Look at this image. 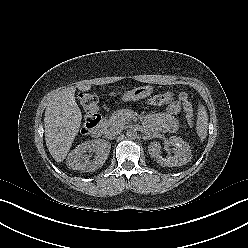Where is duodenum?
<instances>
[{
    "mask_svg": "<svg viewBox=\"0 0 248 248\" xmlns=\"http://www.w3.org/2000/svg\"><path fill=\"white\" fill-rule=\"evenodd\" d=\"M91 130H92V135L95 138H99L103 136L106 130V122L102 119H99L97 121V124Z\"/></svg>",
    "mask_w": 248,
    "mask_h": 248,
    "instance_id": "duodenum-1",
    "label": "duodenum"
}]
</instances>
